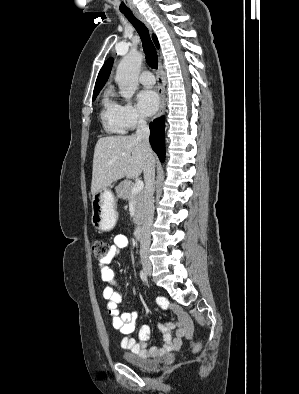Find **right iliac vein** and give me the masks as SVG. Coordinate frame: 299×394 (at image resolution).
Segmentation results:
<instances>
[{
    "label": "right iliac vein",
    "instance_id": "right-iliac-vein-1",
    "mask_svg": "<svg viewBox=\"0 0 299 394\" xmlns=\"http://www.w3.org/2000/svg\"><path fill=\"white\" fill-rule=\"evenodd\" d=\"M143 269H144V271H145L148 275H151V273H152V267H151L150 264H144V265H143Z\"/></svg>",
    "mask_w": 299,
    "mask_h": 394
}]
</instances>
